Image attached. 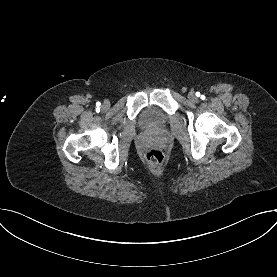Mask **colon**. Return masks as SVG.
Returning a JSON list of instances; mask_svg holds the SVG:
<instances>
[{
    "label": "colon",
    "instance_id": "obj_1",
    "mask_svg": "<svg viewBox=\"0 0 277 277\" xmlns=\"http://www.w3.org/2000/svg\"><path fill=\"white\" fill-rule=\"evenodd\" d=\"M145 159L151 166H160L164 161V154L158 149H152L145 154Z\"/></svg>",
    "mask_w": 277,
    "mask_h": 277
}]
</instances>
